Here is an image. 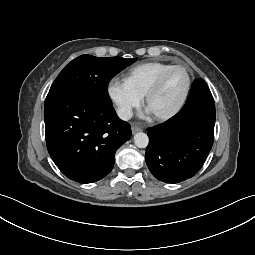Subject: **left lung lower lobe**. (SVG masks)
Wrapping results in <instances>:
<instances>
[{
	"mask_svg": "<svg viewBox=\"0 0 255 255\" xmlns=\"http://www.w3.org/2000/svg\"><path fill=\"white\" fill-rule=\"evenodd\" d=\"M215 103L203 79H196L184 107L166 122L148 128L145 159L160 181L178 183L203 166L214 139Z\"/></svg>",
	"mask_w": 255,
	"mask_h": 255,
	"instance_id": "left-lung-lower-lobe-1",
	"label": "left lung lower lobe"
}]
</instances>
